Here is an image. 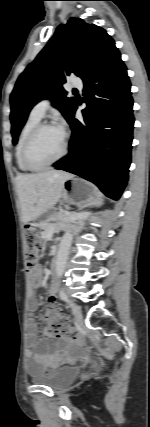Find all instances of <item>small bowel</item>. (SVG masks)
<instances>
[{
  "label": "small bowel",
  "instance_id": "c3829d8e",
  "mask_svg": "<svg viewBox=\"0 0 150 427\" xmlns=\"http://www.w3.org/2000/svg\"><path fill=\"white\" fill-rule=\"evenodd\" d=\"M29 282L33 289L42 286V268L36 266L29 272ZM57 281L53 280L50 285V296H55L57 292ZM39 303L35 298H31L29 309L34 313L38 309ZM38 323L34 316H31L26 323V341L27 349L25 356L27 359L26 367L30 375L46 373L60 366L61 364L72 360L81 353L82 345L76 339L61 337L54 341L46 336L38 339Z\"/></svg>",
  "mask_w": 150,
  "mask_h": 427
}]
</instances>
